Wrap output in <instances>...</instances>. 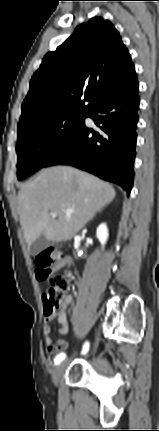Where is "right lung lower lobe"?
I'll return each mask as SVG.
<instances>
[{"label":"right lung lower lobe","instance_id":"1","mask_svg":"<svg viewBox=\"0 0 159 431\" xmlns=\"http://www.w3.org/2000/svg\"><path fill=\"white\" fill-rule=\"evenodd\" d=\"M139 84L136 78L109 94L86 114L85 121L54 151L44 167L66 164L120 185L130 193L134 179Z\"/></svg>","mask_w":159,"mask_h":431}]
</instances>
